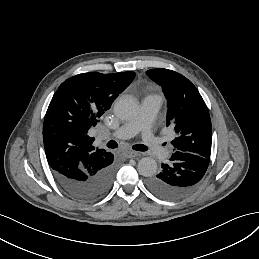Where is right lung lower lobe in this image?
<instances>
[{"instance_id": "obj_1", "label": "right lung lower lobe", "mask_w": 259, "mask_h": 259, "mask_svg": "<svg viewBox=\"0 0 259 259\" xmlns=\"http://www.w3.org/2000/svg\"><path fill=\"white\" fill-rule=\"evenodd\" d=\"M113 159V154L108 153L101 165L78 176L64 175L54 170L52 172L68 195L79 201H93L104 196L111 188L115 175Z\"/></svg>"}]
</instances>
